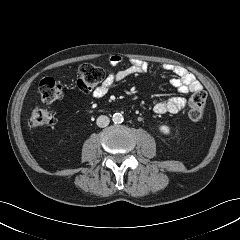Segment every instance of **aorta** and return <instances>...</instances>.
<instances>
[{
  "label": "aorta",
  "mask_w": 240,
  "mask_h": 240,
  "mask_svg": "<svg viewBox=\"0 0 240 240\" xmlns=\"http://www.w3.org/2000/svg\"><path fill=\"white\" fill-rule=\"evenodd\" d=\"M123 115L121 113H114L112 116V120L115 124H119L123 122Z\"/></svg>",
  "instance_id": "obj_1"
}]
</instances>
